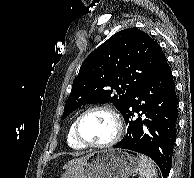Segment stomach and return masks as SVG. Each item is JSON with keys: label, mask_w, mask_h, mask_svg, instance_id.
I'll return each mask as SVG.
<instances>
[{"label": "stomach", "mask_w": 194, "mask_h": 178, "mask_svg": "<svg viewBox=\"0 0 194 178\" xmlns=\"http://www.w3.org/2000/svg\"><path fill=\"white\" fill-rule=\"evenodd\" d=\"M139 168V157L128 150L95 151L68 168L62 178H129Z\"/></svg>", "instance_id": "stomach-1"}]
</instances>
